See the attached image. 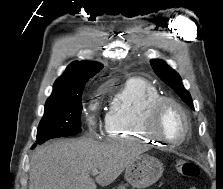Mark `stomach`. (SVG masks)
<instances>
[{
	"mask_svg": "<svg viewBox=\"0 0 223 189\" xmlns=\"http://www.w3.org/2000/svg\"><path fill=\"white\" fill-rule=\"evenodd\" d=\"M163 173V164L148 154L138 155L125 170V179L132 187L141 189L155 183Z\"/></svg>",
	"mask_w": 223,
	"mask_h": 189,
	"instance_id": "stomach-1",
	"label": "stomach"
}]
</instances>
